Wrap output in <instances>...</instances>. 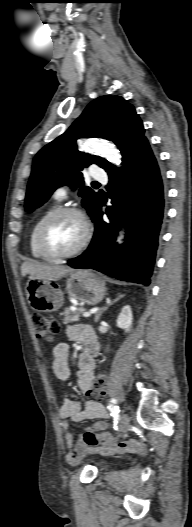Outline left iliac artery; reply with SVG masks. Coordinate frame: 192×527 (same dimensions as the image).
<instances>
[{
	"label": "left iliac artery",
	"instance_id": "left-iliac-artery-1",
	"mask_svg": "<svg viewBox=\"0 0 192 527\" xmlns=\"http://www.w3.org/2000/svg\"><path fill=\"white\" fill-rule=\"evenodd\" d=\"M108 408L111 412V415L114 417L117 416L120 412L119 407L117 406V400L114 398L110 400Z\"/></svg>",
	"mask_w": 192,
	"mask_h": 527
}]
</instances>
